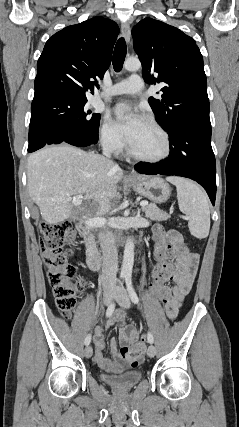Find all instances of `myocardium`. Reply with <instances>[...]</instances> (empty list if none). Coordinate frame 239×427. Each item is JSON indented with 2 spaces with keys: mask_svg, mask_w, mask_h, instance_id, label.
<instances>
[{
  "mask_svg": "<svg viewBox=\"0 0 239 427\" xmlns=\"http://www.w3.org/2000/svg\"><path fill=\"white\" fill-rule=\"evenodd\" d=\"M145 120L162 135L163 140H164V150L158 156L147 157V156H143V155H140V154L134 152L132 150V148L130 147V145H128L127 146L128 155L131 158H133L137 161H140V162H144V163L155 164V163L162 162L170 156L171 151H172V143H171L170 135L167 132V130L159 122H157L154 118L147 116L145 118Z\"/></svg>",
  "mask_w": 239,
  "mask_h": 427,
  "instance_id": "1",
  "label": "myocardium"
}]
</instances>
